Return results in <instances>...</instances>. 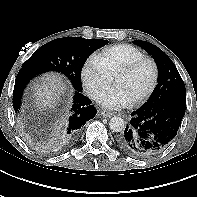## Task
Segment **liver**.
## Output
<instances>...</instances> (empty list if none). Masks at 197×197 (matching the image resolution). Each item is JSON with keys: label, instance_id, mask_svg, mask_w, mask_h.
<instances>
[{"label": "liver", "instance_id": "6515ba94", "mask_svg": "<svg viewBox=\"0 0 197 197\" xmlns=\"http://www.w3.org/2000/svg\"><path fill=\"white\" fill-rule=\"evenodd\" d=\"M66 89L62 78L56 74H46L33 85V98L36 107L41 110L56 106Z\"/></svg>", "mask_w": 197, "mask_h": 197}]
</instances>
